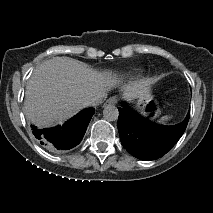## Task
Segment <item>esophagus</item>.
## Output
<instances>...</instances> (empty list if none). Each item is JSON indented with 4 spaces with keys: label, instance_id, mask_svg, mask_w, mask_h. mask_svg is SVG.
<instances>
[{
    "label": "esophagus",
    "instance_id": "esophagus-1",
    "mask_svg": "<svg viewBox=\"0 0 213 213\" xmlns=\"http://www.w3.org/2000/svg\"><path fill=\"white\" fill-rule=\"evenodd\" d=\"M106 103L114 105L117 103V99L116 97H111L106 101Z\"/></svg>",
    "mask_w": 213,
    "mask_h": 213
}]
</instances>
